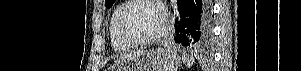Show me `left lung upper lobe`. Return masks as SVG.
<instances>
[{
    "mask_svg": "<svg viewBox=\"0 0 301 71\" xmlns=\"http://www.w3.org/2000/svg\"><path fill=\"white\" fill-rule=\"evenodd\" d=\"M114 2H115V0H105V6L107 8H110Z\"/></svg>",
    "mask_w": 301,
    "mask_h": 71,
    "instance_id": "1",
    "label": "left lung upper lobe"
}]
</instances>
